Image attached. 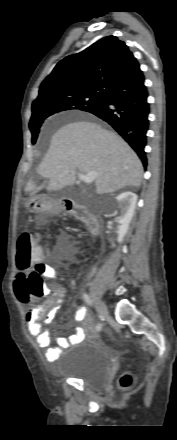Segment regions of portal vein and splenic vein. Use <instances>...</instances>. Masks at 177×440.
Returning <instances> with one entry per match:
<instances>
[{
	"mask_svg": "<svg viewBox=\"0 0 177 440\" xmlns=\"http://www.w3.org/2000/svg\"><path fill=\"white\" fill-rule=\"evenodd\" d=\"M77 175H78V178L81 181L85 182L86 184L92 183L96 179V177H97L96 171H90V172H88L86 174L78 173Z\"/></svg>",
	"mask_w": 177,
	"mask_h": 440,
	"instance_id": "portal-vein-and-splenic-vein-1",
	"label": "portal vein and splenic vein"
}]
</instances>
